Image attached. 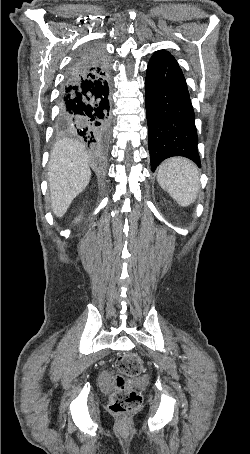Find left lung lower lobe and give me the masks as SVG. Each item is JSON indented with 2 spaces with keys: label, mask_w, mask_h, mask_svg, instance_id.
I'll use <instances>...</instances> for the list:
<instances>
[{
  "label": "left lung lower lobe",
  "mask_w": 250,
  "mask_h": 454,
  "mask_svg": "<svg viewBox=\"0 0 250 454\" xmlns=\"http://www.w3.org/2000/svg\"><path fill=\"white\" fill-rule=\"evenodd\" d=\"M145 106L152 171L172 156L187 157L201 167L187 84L177 61L167 51H157L149 61Z\"/></svg>",
  "instance_id": "left-lung-lower-lobe-1"
}]
</instances>
